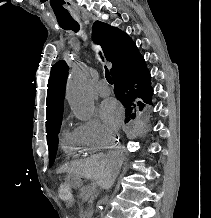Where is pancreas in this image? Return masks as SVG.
I'll list each match as a JSON object with an SVG mask.
<instances>
[{
    "mask_svg": "<svg viewBox=\"0 0 211 218\" xmlns=\"http://www.w3.org/2000/svg\"><path fill=\"white\" fill-rule=\"evenodd\" d=\"M93 186H82V190L78 191L79 195L81 196L82 200H90L89 204L93 205L94 204V196H93Z\"/></svg>",
    "mask_w": 211,
    "mask_h": 218,
    "instance_id": "cf45deb5",
    "label": "pancreas"
}]
</instances>
